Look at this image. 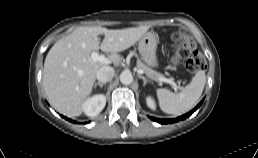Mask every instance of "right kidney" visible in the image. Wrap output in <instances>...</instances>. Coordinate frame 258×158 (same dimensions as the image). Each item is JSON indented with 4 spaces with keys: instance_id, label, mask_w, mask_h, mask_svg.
Listing matches in <instances>:
<instances>
[{
    "instance_id": "right-kidney-1",
    "label": "right kidney",
    "mask_w": 258,
    "mask_h": 158,
    "mask_svg": "<svg viewBox=\"0 0 258 158\" xmlns=\"http://www.w3.org/2000/svg\"><path fill=\"white\" fill-rule=\"evenodd\" d=\"M106 98L103 94H97L88 98L83 104V112L89 117L97 116L105 107Z\"/></svg>"
}]
</instances>
